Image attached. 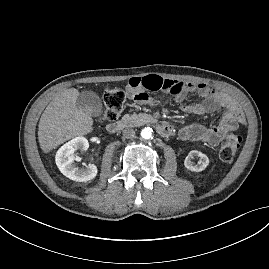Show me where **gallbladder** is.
<instances>
[{
    "label": "gallbladder",
    "instance_id": "gallbladder-1",
    "mask_svg": "<svg viewBox=\"0 0 269 269\" xmlns=\"http://www.w3.org/2000/svg\"><path fill=\"white\" fill-rule=\"evenodd\" d=\"M76 105L93 117H98L103 112L101 99L93 91H82L77 98Z\"/></svg>",
    "mask_w": 269,
    "mask_h": 269
}]
</instances>
